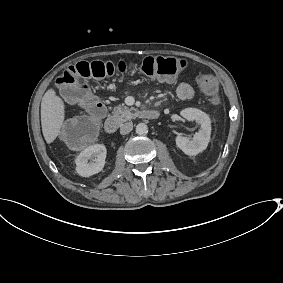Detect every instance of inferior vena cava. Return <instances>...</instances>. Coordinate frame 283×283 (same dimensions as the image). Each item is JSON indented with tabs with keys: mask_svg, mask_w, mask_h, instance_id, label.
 I'll return each mask as SVG.
<instances>
[{
	"mask_svg": "<svg viewBox=\"0 0 283 283\" xmlns=\"http://www.w3.org/2000/svg\"><path fill=\"white\" fill-rule=\"evenodd\" d=\"M133 129V123L132 122H127L121 125L120 127V134L125 135L131 132Z\"/></svg>",
	"mask_w": 283,
	"mask_h": 283,
	"instance_id": "inferior-vena-cava-1",
	"label": "inferior vena cava"
}]
</instances>
